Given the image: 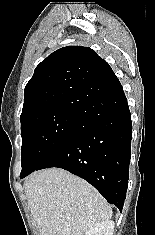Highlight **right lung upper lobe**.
I'll return each mask as SVG.
<instances>
[{
    "label": "right lung upper lobe",
    "mask_w": 155,
    "mask_h": 235,
    "mask_svg": "<svg viewBox=\"0 0 155 235\" xmlns=\"http://www.w3.org/2000/svg\"><path fill=\"white\" fill-rule=\"evenodd\" d=\"M115 79L109 64L92 49L63 47L38 64L25 87L21 116L46 106L64 107L85 116L86 90Z\"/></svg>",
    "instance_id": "obj_1"
}]
</instances>
